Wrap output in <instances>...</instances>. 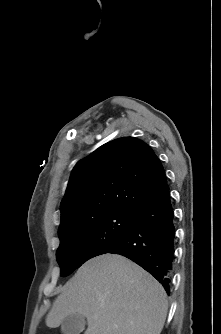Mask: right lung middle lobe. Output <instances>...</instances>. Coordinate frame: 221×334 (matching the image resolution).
Segmentation results:
<instances>
[{
	"label": "right lung middle lobe",
	"instance_id": "1",
	"mask_svg": "<svg viewBox=\"0 0 221 334\" xmlns=\"http://www.w3.org/2000/svg\"><path fill=\"white\" fill-rule=\"evenodd\" d=\"M134 214L109 212L72 226L60 237L56 258L61 276L70 274L88 259L104 254L120 241Z\"/></svg>",
	"mask_w": 221,
	"mask_h": 334
}]
</instances>
